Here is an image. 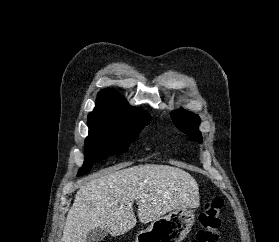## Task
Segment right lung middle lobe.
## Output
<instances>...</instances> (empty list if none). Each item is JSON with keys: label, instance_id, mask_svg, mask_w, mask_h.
<instances>
[{"label": "right lung middle lobe", "instance_id": "dd1d6c3e", "mask_svg": "<svg viewBox=\"0 0 279 242\" xmlns=\"http://www.w3.org/2000/svg\"><path fill=\"white\" fill-rule=\"evenodd\" d=\"M89 135L85 140V161L78 176L87 174L94 163L109 155L128 150L129 143L138 136L148 122L135 125H119L108 121H88Z\"/></svg>", "mask_w": 279, "mask_h": 242}]
</instances>
